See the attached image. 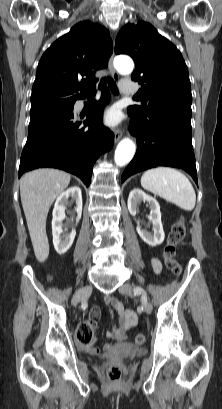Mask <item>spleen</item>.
Instances as JSON below:
<instances>
[{"label": "spleen", "instance_id": "obj_1", "mask_svg": "<svg viewBox=\"0 0 222 409\" xmlns=\"http://www.w3.org/2000/svg\"><path fill=\"white\" fill-rule=\"evenodd\" d=\"M141 186L185 211L195 207L196 194L188 178L170 167L147 170L141 177Z\"/></svg>", "mask_w": 222, "mask_h": 409}]
</instances>
